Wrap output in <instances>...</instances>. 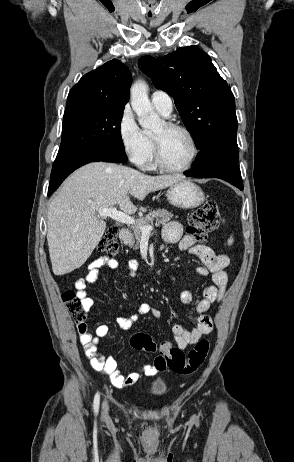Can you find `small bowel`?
I'll list each match as a JSON object with an SVG mask.
<instances>
[{"instance_id": "obj_1", "label": "small bowel", "mask_w": 294, "mask_h": 462, "mask_svg": "<svg viewBox=\"0 0 294 462\" xmlns=\"http://www.w3.org/2000/svg\"><path fill=\"white\" fill-rule=\"evenodd\" d=\"M163 238L167 243H178L182 251L197 256L203 264L202 267L197 268V273L199 275L209 274L212 279V283L204 288L202 298L199 300H195L192 292L189 290L181 292V301L184 304L193 305L198 314L197 325L192 330L189 331L180 324H175L172 327L176 346L179 349H185L197 343L213 329V322L208 315V310L213 303L220 301L224 296L228 281L225 269L229 264V259L225 254H217L209 247L198 244L197 241L189 235L183 236L182 225L175 221L168 223L164 227ZM118 266L119 263L117 260L108 257H100L95 259L88 266V274L85 277L76 280L75 288L77 290V296L82 300L85 311H88L94 304L92 298L88 296L87 285L97 280L102 268L107 267L115 269ZM138 266V261L132 260L125 267V270L129 276L134 277ZM146 314H151L155 318H160V312L158 310L154 309L149 303L143 302L139 305L138 314L131 317H119L117 323L122 329H129L138 322L140 316ZM77 332L91 367L108 376L111 384L116 388H124L133 385L142 375L153 376L162 371L153 363L133 369L125 376L118 369V363L113 356L105 357L98 351L100 339L105 337L109 332V327L107 325H99L95 333L92 334L88 329V325L83 322L77 325Z\"/></svg>"}]
</instances>
